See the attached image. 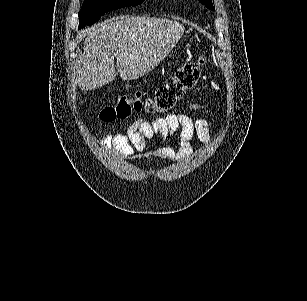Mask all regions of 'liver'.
Returning <instances> with one entry per match:
<instances>
[{"label": "liver", "mask_w": 307, "mask_h": 301, "mask_svg": "<svg viewBox=\"0 0 307 301\" xmlns=\"http://www.w3.org/2000/svg\"><path fill=\"white\" fill-rule=\"evenodd\" d=\"M184 30L177 20L153 16H113L85 28L76 82L82 90L108 84L116 76L115 60L122 80L144 76L169 54Z\"/></svg>", "instance_id": "6515ba94"}]
</instances>
